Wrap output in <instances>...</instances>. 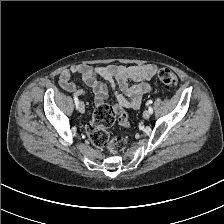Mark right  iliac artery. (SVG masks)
Masks as SVG:
<instances>
[{
    "instance_id": "1",
    "label": "right iliac artery",
    "mask_w": 224,
    "mask_h": 224,
    "mask_svg": "<svg viewBox=\"0 0 224 224\" xmlns=\"http://www.w3.org/2000/svg\"><path fill=\"white\" fill-rule=\"evenodd\" d=\"M74 102H75L76 108L78 109L79 108V99L77 98L76 95H74Z\"/></svg>"
}]
</instances>
